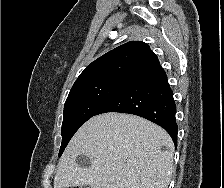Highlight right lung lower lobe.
<instances>
[{
  "label": "right lung lower lobe",
  "mask_w": 224,
  "mask_h": 188,
  "mask_svg": "<svg viewBox=\"0 0 224 188\" xmlns=\"http://www.w3.org/2000/svg\"><path fill=\"white\" fill-rule=\"evenodd\" d=\"M107 112L144 117L164 128L177 145L176 105L166 73L159 63L134 78L95 115Z\"/></svg>",
  "instance_id": "1"
}]
</instances>
